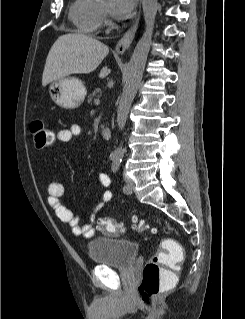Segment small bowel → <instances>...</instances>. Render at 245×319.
<instances>
[{
  "label": "small bowel",
  "instance_id": "c3829d8e",
  "mask_svg": "<svg viewBox=\"0 0 245 319\" xmlns=\"http://www.w3.org/2000/svg\"><path fill=\"white\" fill-rule=\"evenodd\" d=\"M82 128L73 124L69 128L61 129L57 133V139L61 143H67L74 138L80 137ZM98 180L102 187L105 188L101 195L100 201L96 204L90 220L86 224H81L80 218L72 213V211L61 202V197L65 192V185L58 180H53L48 186V204L55 211L57 217L67 223L74 235L92 238L95 235L94 221L96 213L100 211L107 203L113 199V192L108 189L110 186V178L105 172L98 173Z\"/></svg>",
  "mask_w": 245,
  "mask_h": 319
}]
</instances>
